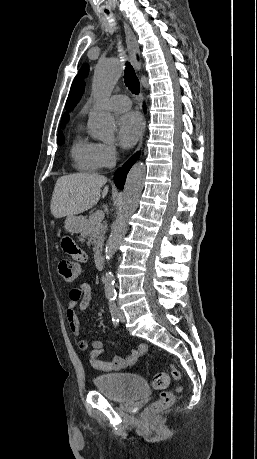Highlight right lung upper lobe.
I'll list each match as a JSON object with an SVG mask.
<instances>
[{
  "label": "right lung upper lobe",
  "mask_w": 257,
  "mask_h": 459,
  "mask_svg": "<svg viewBox=\"0 0 257 459\" xmlns=\"http://www.w3.org/2000/svg\"><path fill=\"white\" fill-rule=\"evenodd\" d=\"M68 122V116L64 114L61 119L62 125L66 124ZM61 132V130L58 131V133Z\"/></svg>",
  "instance_id": "cb5924a9"
}]
</instances>
